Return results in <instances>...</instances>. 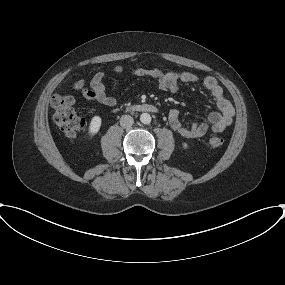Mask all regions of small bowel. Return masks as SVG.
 Here are the masks:
<instances>
[{
  "mask_svg": "<svg viewBox=\"0 0 285 285\" xmlns=\"http://www.w3.org/2000/svg\"><path fill=\"white\" fill-rule=\"evenodd\" d=\"M134 76H148L156 79L161 90L179 93L180 83L202 85L208 90L216 102L218 111L209 114L207 121L194 122L189 126H184L179 120V109L174 108L169 112V124L171 128L186 139H195L205 135L209 130L213 132H222L231 125L234 116V108L230 101L225 97L221 86L212 76H207L202 80L191 72H164L160 69L136 68L132 70ZM104 74L96 73L90 80V87L85 86V81L80 80L74 88L79 90L82 96L89 100H95L105 106H115L116 99L105 92Z\"/></svg>",
  "mask_w": 285,
  "mask_h": 285,
  "instance_id": "1",
  "label": "small bowel"
}]
</instances>
